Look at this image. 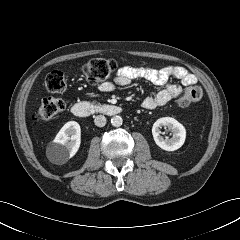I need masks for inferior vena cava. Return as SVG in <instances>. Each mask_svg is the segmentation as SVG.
Wrapping results in <instances>:
<instances>
[{
  "label": "inferior vena cava",
  "mask_w": 240,
  "mask_h": 240,
  "mask_svg": "<svg viewBox=\"0 0 240 240\" xmlns=\"http://www.w3.org/2000/svg\"><path fill=\"white\" fill-rule=\"evenodd\" d=\"M94 123L98 127H103L106 124V117L104 115H98L95 117Z\"/></svg>",
  "instance_id": "obj_1"
}]
</instances>
